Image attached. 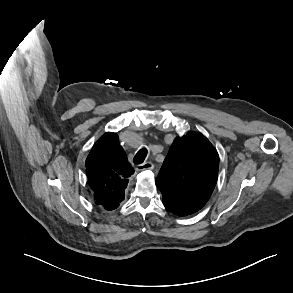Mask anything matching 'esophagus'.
<instances>
[{"instance_id":"34e87169","label":"esophagus","mask_w":293,"mask_h":293,"mask_svg":"<svg viewBox=\"0 0 293 293\" xmlns=\"http://www.w3.org/2000/svg\"><path fill=\"white\" fill-rule=\"evenodd\" d=\"M153 167H154L153 163L148 161V162H144V163L138 165V167L136 169H137V171L151 170V169H153Z\"/></svg>"}]
</instances>
